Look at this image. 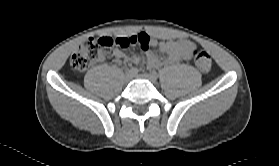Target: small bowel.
<instances>
[{
    "instance_id": "obj_1",
    "label": "small bowel",
    "mask_w": 279,
    "mask_h": 166,
    "mask_svg": "<svg viewBox=\"0 0 279 166\" xmlns=\"http://www.w3.org/2000/svg\"><path fill=\"white\" fill-rule=\"evenodd\" d=\"M144 36L146 38V43L140 45L142 53L144 55H133L127 56L120 49H114L113 56L118 61H127L131 63H139L145 59L146 65L148 68H158L166 63H175L181 60H187L191 56V52L194 48V43L187 39L180 40H171V41H158L154 38H151L148 34L142 32L136 35H132L129 38H138ZM150 47H156L161 53L167 54L166 61L160 60L156 54L150 50Z\"/></svg>"
}]
</instances>
